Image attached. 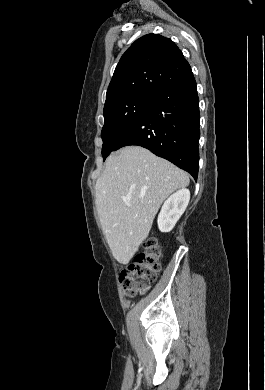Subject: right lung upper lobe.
I'll list each match as a JSON object with an SVG mask.
<instances>
[{"label":"right lung upper lobe","mask_w":265,"mask_h":390,"mask_svg":"<svg viewBox=\"0 0 265 390\" xmlns=\"http://www.w3.org/2000/svg\"><path fill=\"white\" fill-rule=\"evenodd\" d=\"M190 69L171 39L158 34L144 35L122 55L109 84L104 107L137 94L157 96Z\"/></svg>","instance_id":"right-lung-upper-lobe-1"}]
</instances>
